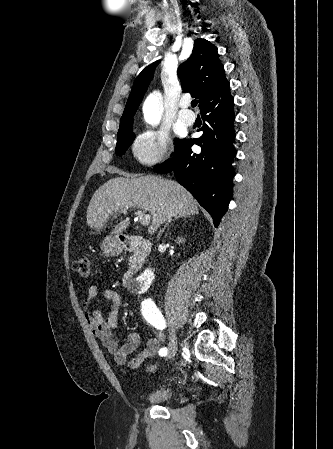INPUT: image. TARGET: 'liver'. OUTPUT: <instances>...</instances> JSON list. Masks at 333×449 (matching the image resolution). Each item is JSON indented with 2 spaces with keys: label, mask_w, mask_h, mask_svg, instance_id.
I'll use <instances>...</instances> for the list:
<instances>
[{
  "label": "liver",
  "mask_w": 333,
  "mask_h": 449,
  "mask_svg": "<svg viewBox=\"0 0 333 449\" xmlns=\"http://www.w3.org/2000/svg\"><path fill=\"white\" fill-rule=\"evenodd\" d=\"M135 207L151 214L150 234L172 217L199 213L196 200L175 181L150 175L116 177L104 183L93 194L87 208V224L100 233L113 214L121 210L126 215L128 209ZM129 224L127 217L115 226L113 233H122Z\"/></svg>",
  "instance_id": "liver-1"
}]
</instances>
